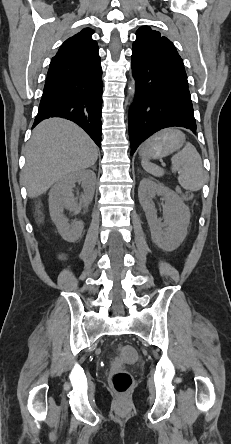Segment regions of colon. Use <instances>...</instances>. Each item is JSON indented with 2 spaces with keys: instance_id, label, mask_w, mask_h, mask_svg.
<instances>
[{
  "instance_id": "colon-1",
  "label": "colon",
  "mask_w": 231,
  "mask_h": 444,
  "mask_svg": "<svg viewBox=\"0 0 231 444\" xmlns=\"http://www.w3.org/2000/svg\"><path fill=\"white\" fill-rule=\"evenodd\" d=\"M184 197L190 199L191 193H184ZM61 258H66L65 254H61ZM136 359V351L130 345H121L117 350V356L113 361L109 375V381L112 388L119 394H127L133 386L132 375L124 369V364L131 363Z\"/></svg>"
}]
</instances>
